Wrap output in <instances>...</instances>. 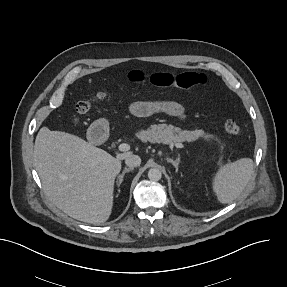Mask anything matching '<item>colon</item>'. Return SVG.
Listing matches in <instances>:
<instances>
[{"label": "colon", "mask_w": 287, "mask_h": 287, "mask_svg": "<svg viewBox=\"0 0 287 287\" xmlns=\"http://www.w3.org/2000/svg\"><path fill=\"white\" fill-rule=\"evenodd\" d=\"M145 82L161 88L177 87L188 90L204 85L206 77L194 72H182L178 74L157 72L147 76L141 71H132L124 80V83L129 84H143ZM106 99L107 94L105 92H98L94 97L80 101L76 106V110L79 114H87L96 103L104 102ZM224 129L231 135H242L244 132L242 125L233 119L225 121Z\"/></svg>", "instance_id": "5ec220e1"}]
</instances>
